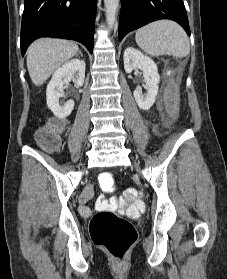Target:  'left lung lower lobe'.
<instances>
[{
    "label": "left lung lower lobe",
    "instance_id": "obj_1",
    "mask_svg": "<svg viewBox=\"0 0 227 279\" xmlns=\"http://www.w3.org/2000/svg\"><path fill=\"white\" fill-rule=\"evenodd\" d=\"M160 19L176 21L190 35L183 0H121L119 41L130 31Z\"/></svg>",
    "mask_w": 227,
    "mask_h": 279
}]
</instances>
